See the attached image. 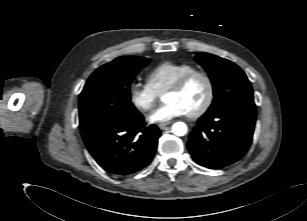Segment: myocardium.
Listing matches in <instances>:
<instances>
[{
  "instance_id": "myocardium-1",
  "label": "myocardium",
  "mask_w": 307,
  "mask_h": 221,
  "mask_svg": "<svg viewBox=\"0 0 307 221\" xmlns=\"http://www.w3.org/2000/svg\"><path fill=\"white\" fill-rule=\"evenodd\" d=\"M195 77H202L205 80L207 84V96L204 103L201 105L199 109H197L194 112L186 114L187 117H189L190 119H197L202 117L212 106L215 97V84L212 76L208 72L202 70L191 71L180 77L173 85H171L167 89L166 92V93L170 92L176 93L182 91L189 84V82Z\"/></svg>"
}]
</instances>
